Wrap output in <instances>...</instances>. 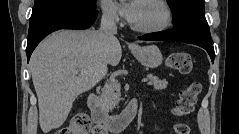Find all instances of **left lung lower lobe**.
I'll list each match as a JSON object with an SVG mask.
<instances>
[{"label": "left lung lower lobe", "mask_w": 239, "mask_h": 134, "mask_svg": "<svg viewBox=\"0 0 239 134\" xmlns=\"http://www.w3.org/2000/svg\"><path fill=\"white\" fill-rule=\"evenodd\" d=\"M138 38L140 40L180 41L195 44L204 48L210 55L212 62H214V47L206 19L192 18L179 26L173 27L171 30L150 33Z\"/></svg>", "instance_id": "1"}]
</instances>
